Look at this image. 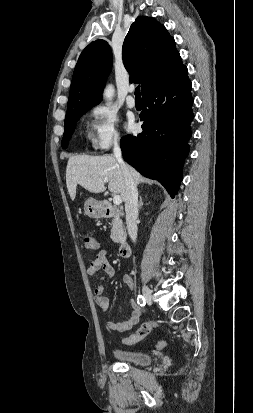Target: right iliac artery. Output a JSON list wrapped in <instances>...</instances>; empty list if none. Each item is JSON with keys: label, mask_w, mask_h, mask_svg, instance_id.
<instances>
[{"label": "right iliac artery", "mask_w": 253, "mask_h": 413, "mask_svg": "<svg viewBox=\"0 0 253 413\" xmlns=\"http://www.w3.org/2000/svg\"><path fill=\"white\" fill-rule=\"evenodd\" d=\"M137 303L141 306V307H143L144 305H145V298L142 296V295H138V297H137Z\"/></svg>", "instance_id": "right-iliac-artery-1"}]
</instances>
